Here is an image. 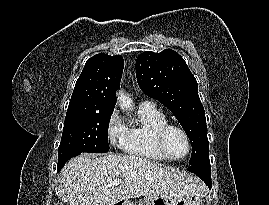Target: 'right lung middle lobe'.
Instances as JSON below:
<instances>
[{"mask_svg":"<svg viewBox=\"0 0 269 205\" xmlns=\"http://www.w3.org/2000/svg\"><path fill=\"white\" fill-rule=\"evenodd\" d=\"M112 112L68 108L58 156L66 152H108V126Z\"/></svg>","mask_w":269,"mask_h":205,"instance_id":"dd1d6c3e","label":"right lung middle lobe"}]
</instances>
